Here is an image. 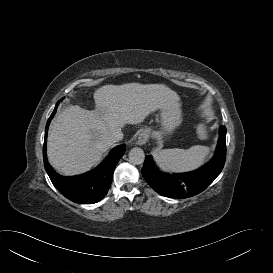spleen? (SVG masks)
I'll return each instance as SVG.
<instances>
[{"label": "spleen", "mask_w": 273, "mask_h": 273, "mask_svg": "<svg viewBox=\"0 0 273 273\" xmlns=\"http://www.w3.org/2000/svg\"><path fill=\"white\" fill-rule=\"evenodd\" d=\"M197 133L200 139L207 138L204 124H199ZM209 153V147L196 145L187 150L174 148L161 151L156 155V161L163 168L171 170H188L199 166Z\"/></svg>", "instance_id": "obj_1"}]
</instances>
